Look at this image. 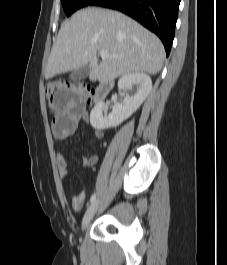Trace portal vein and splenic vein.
<instances>
[{
  "instance_id": "1",
  "label": "portal vein and splenic vein",
  "mask_w": 227,
  "mask_h": 265,
  "mask_svg": "<svg viewBox=\"0 0 227 265\" xmlns=\"http://www.w3.org/2000/svg\"><path fill=\"white\" fill-rule=\"evenodd\" d=\"M99 54H100V56H101L102 59L109 58V56H110L109 53H108V51H105V50L99 51Z\"/></svg>"
}]
</instances>
